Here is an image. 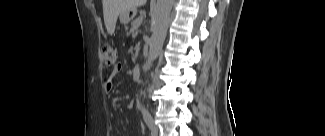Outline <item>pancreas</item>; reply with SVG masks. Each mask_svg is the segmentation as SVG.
<instances>
[{"instance_id": "cf45deb5", "label": "pancreas", "mask_w": 325, "mask_h": 136, "mask_svg": "<svg viewBox=\"0 0 325 136\" xmlns=\"http://www.w3.org/2000/svg\"><path fill=\"white\" fill-rule=\"evenodd\" d=\"M130 27L131 26H134V18H131L130 20H129V24H128ZM137 35V32H135L134 34H133V36H136Z\"/></svg>"}]
</instances>
